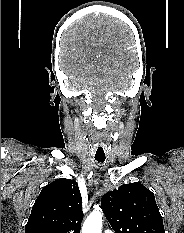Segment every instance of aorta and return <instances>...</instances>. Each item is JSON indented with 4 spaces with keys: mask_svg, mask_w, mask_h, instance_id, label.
<instances>
[{
    "mask_svg": "<svg viewBox=\"0 0 184 233\" xmlns=\"http://www.w3.org/2000/svg\"><path fill=\"white\" fill-rule=\"evenodd\" d=\"M102 218L103 213L100 210L91 212L82 226V233H101Z\"/></svg>",
    "mask_w": 184,
    "mask_h": 233,
    "instance_id": "aorta-1",
    "label": "aorta"
}]
</instances>
